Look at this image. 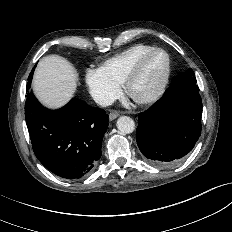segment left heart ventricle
<instances>
[{
  "mask_svg": "<svg viewBox=\"0 0 232 232\" xmlns=\"http://www.w3.org/2000/svg\"><path fill=\"white\" fill-rule=\"evenodd\" d=\"M165 63L166 59L162 53H156L148 58L139 76L132 85V94L136 97H143L150 94L162 78Z\"/></svg>",
  "mask_w": 232,
  "mask_h": 232,
  "instance_id": "b2bd125f",
  "label": "left heart ventricle"
}]
</instances>
